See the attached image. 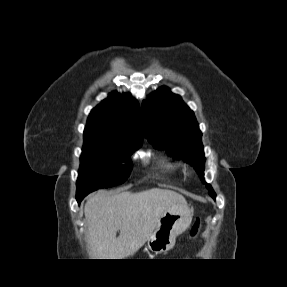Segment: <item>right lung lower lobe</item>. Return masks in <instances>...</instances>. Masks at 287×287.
<instances>
[{"mask_svg": "<svg viewBox=\"0 0 287 287\" xmlns=\"http://www.w3.org/2000/svg\"><path fill=\"white\" fill-rule=\"evenodd\" d=\"M86 195L88 194H82V195L76 196L77 202L80 203Z\"/></svg>", "mask_w": 287, "mask_h": 287, "instance_id": "98d812e1", "label": "right lung lower lobe"}]
</instances>
